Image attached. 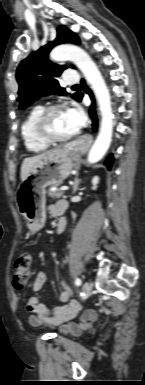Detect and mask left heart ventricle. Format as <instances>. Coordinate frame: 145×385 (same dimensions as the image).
I'll use <instances>...</instances> for the list:
<instances>
[{"mask_svg": "<svg viewBox=\"0 0 145 385\" xmlns=\"http://www.w3.org/2000/svg\"><path fill=\"white\" fill-rule=\"evenodd\" d=\"M49 129L56 137H67L77 131L69 120L65 110L57 111L51 116Z\"/></svg>", "mask_w": 145, "mask_h": 385, "instance_id": "left-heart-ventricle-1", "label": "left heart ventricle"}]
</instances>
